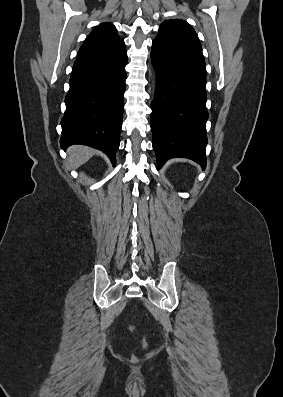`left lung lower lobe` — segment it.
<instances>
[{"label": "left lung lower lobe", "mask_w": 283, "mask_h": 397, "mask_svg": "<svg viewBox=\"0 0 283 397\" xmlns=\"http://www.w3.org/2000/svg\"><path fill=\"white\" fill-rule=\"evenodd\" d=\"M156 71L151 103L153 149L158 169L170 158L184 157L206 167V75L152 44Z\"/></svg>", "instance_id": "0a47b994"}]
</instances>
